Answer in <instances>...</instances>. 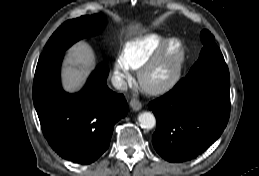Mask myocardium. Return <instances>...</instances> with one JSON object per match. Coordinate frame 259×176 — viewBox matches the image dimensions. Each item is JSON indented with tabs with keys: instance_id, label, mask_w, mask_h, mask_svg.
I'll return each instance as SVG.
<instances>
[{
	"instance_id": "f54148a6",
	"label": "myocardium",
	"mask_w": 259,
	"mask_h": 176,
	"mask_svg": "<svg viewBox=\"0 0 259 176\" xmlns=\"http://www.w3.org/2000/svg\"><path fill=\"white\" fill-rule=\"evenodd\" d=\"M173 49L174 63L173 68L168 77L160 81H153L150 78L151 73ZM186 47L183 40L179 37H169L159 49L150 57L139 69L138 80L144 91L150 94H162L172 89L179 81L184 63H185Z\"/></svg>"
}]
</instances>
